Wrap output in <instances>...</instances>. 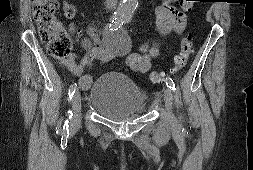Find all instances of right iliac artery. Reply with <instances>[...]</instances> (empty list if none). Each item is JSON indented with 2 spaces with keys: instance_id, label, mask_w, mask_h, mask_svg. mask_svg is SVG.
Listing matches in <instances>:
<instances>
[{
  "instance_id": "82829eb1",
  "label": "right iliac artery",
  "mask_w": 253,
  "mask_h": 170,
  "mask_svg": "<svg viewBox=\"0 0 253 170\" xmlns=\"http://www.w3.org/2000/svg\"><path fill=\"white\" fill-rule=\"evenodd\" d=\"M123 25V19L119 16H114L111 19L110 24L107 26V30L109 31H115L118 30V28H120ZM77 88V84L73 83L72 85H70L69 90H68V96L69 99H72L73 94L75 93ZM67 122V121H66ZM65 122V124L67 125V123Z\"/></svg>"
}]
</instances>
